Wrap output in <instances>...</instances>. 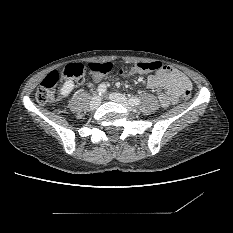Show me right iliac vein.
<instances>
[{
    "mask_svg": "<svg viewBox=\"0 0 233 233\" xmlns=\"http://www.w3.org/2000/svg\"><path fill=\"white\" fill-rule=\"evenodd\" d=\"M101 104V97L100 96H94L90 102V108L91 109H96L100 106Z\"/></svg>",
    "mask_w": 233,
    "mask_h": 233,
    "instance_id": "right-iliac-vein-1",
    "label": "right iliac vein"
}]
</instances>
